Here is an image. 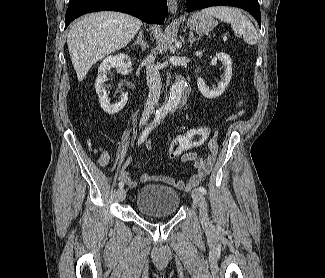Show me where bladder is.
I'll return each instance as SVG.
<instances>
[{
  "instance_id": "31cf9c89",
  "label": "bladder",
  "mask_w": 325,
  "mask_h": 278,
  "mask_svg": "<svg viewBox=\"0 0 325 278\" xmlns=\"http://www.w3.org/2000/svg\"><path fill=\"white\" fill-rule=\"evenodd\" d=\"M180 206L179 193L164 184H146L139 189L136 200V209L148 216H166L177 213Z\"/></svg>"
}]
</instances>
